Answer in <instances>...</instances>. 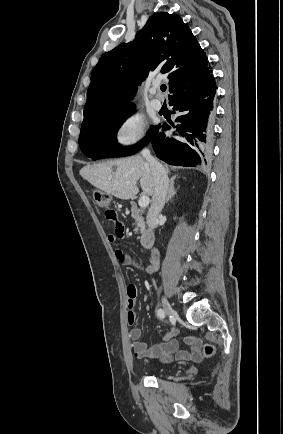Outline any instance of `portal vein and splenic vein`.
Listing matches in <instances>:
<instances>
[{
    "label": "portal vein and splenic vein",
    "mask_w": 283,
    "mask_h": 434,
    "mask_svg": "<svg viewBox=\"0 0 283 434\" xmlns=\"http://www.w3.org/2000/svg\"><path fill=\"white\" fill-rule=\"evenodd\" d=\"M149 202H150V198L144 195L139 199L138 204L141 208H146L149 205Z\"/></svg>",
    "instance_id": "portal-vein-and-splenic-vein-1"
}]
</instances>
